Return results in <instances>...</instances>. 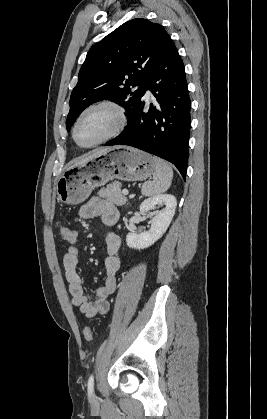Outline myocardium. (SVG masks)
Segmentation results:
<instances>
[{
  "label": "myocardium",
  "instance_id": "myocardium-1",
  "mask_svg": "<svg viewBox=\"0 0 267 419\" xmlns=\"http://www.w3.org/2000/svg\"><path fill=\"white\" fill-rule=\"evenodd\" d=\"M97 108H108L110 109L116 118V122L113 126V128L106 134L104 135L102 138H100L99 140L91 143V144H82L78 137H77V129L78 126L82 120V118L91 110L97 109ZM127 124V112L125 110V108L118 102L114 101V100H110V99H103V100H99L96 102H93L89 105H87L78 115L75 123H74V127H73V139L74 141L77 143L78 146L82 147V148H92L95 146H98L102 143H105L109 140H111L112 138L116 137L117 135H119L122 130L125 128Z\"/></svg>",
  "mask_w": 267,
  "mask_h": 419
}]
</instances>
